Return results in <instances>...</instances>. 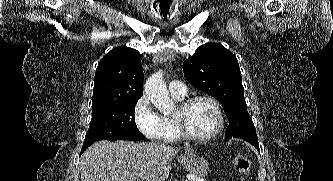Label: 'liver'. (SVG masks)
I'll return each mask as SVG.
<instances>
[{"label": "liver", "mask_w": 333, "mask_h": 181, "mask_svg": "<svg viewBox=\"0 0 333 181\" xmlns=\"http://www.w3.org/2000/svg\"><path fill=\"white\" fill-rule=\"evenodd\" d=\"M179 150L157 143L101 140L80 158L81 181H165Z\"/></svg>", "instance_id": "liver-1"}]
</instances>
